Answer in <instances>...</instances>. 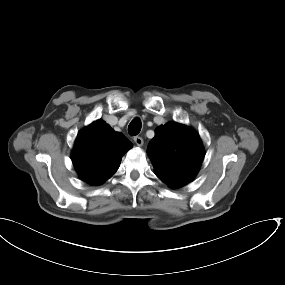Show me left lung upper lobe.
Segmentation results:
<instances>
[{
  "label": "left lung upper lobe",
  "mask_w": 285,
  "mask_h": 285,
  "mask_svg": "<svg viewBox=\"0 0 285 285\" xmlns=\"http://www.w3.org/2000/svg\"><path fill=\"white\" fill-rule=\"evenodd\" d=\"M157 177L167 185L187 184L197 174L205 153L196 131L169 122L155 129L147 147Z\"/></svg>",
  "instance_id": "obj_1"
}]
</instances>
